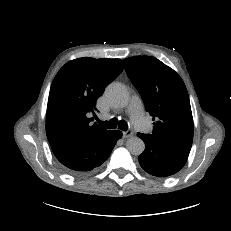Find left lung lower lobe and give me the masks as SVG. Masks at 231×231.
Instances as JSON below:
<instances>
[{"label": "left lung lower lobe", "instance_id": "left-lung-lower-lobe-1", "mask_svg": "<svg viewBox=\"0 0 231 231\" xmlns=\"http://www.w3.org/2000/svg\"><path fill=\"white\" fill-rule=\"evenodd\" d=\"M145 142V150L139 156L140 166L149 174L167 177L185 165L191 147L159 141L149 134H137Z\"/></svg>", "mask_w": 231, "mask_h": 231}]
</instances>
